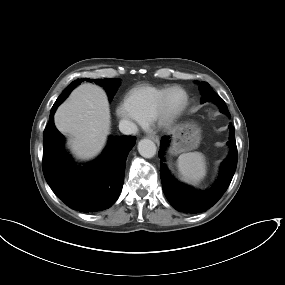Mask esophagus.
Here are the masks:
<instances>
[{
	"mask_svg": "<svg viewBox=\"0 0 285 285\" xmlns=\"http://www.w3.org/2000/svg\"><path fill=\"white\" fill-rule=\"evenodd\" d=\"M149 138L157 144L160 142L159 137L156 135H151Z\"/></svg>",
	"mask_w": 285,
	"mask_h": 285,
	"instance_id": "1",
	"label": "esophagus"
}]
</instances>
